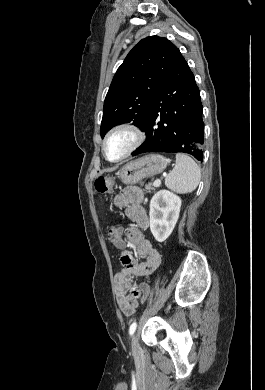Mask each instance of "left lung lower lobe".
I'll return each mask as SVG.
<instances>
[{
    "label": "left lung lower lobe",
    "instance_id": "obj_1",
    "mask_svg": "<svg viewBox=\"0 0 265 390\" xmlns=\"http://www.w3.org/2000/svg\"><path fill=\"white\" fill-rule=\"evenodd\" d=\"M146 141L132 153H187L203 161L204 123L200 91L183 56L156 93L146 125Z\"/></svg>",
    "mask_w": 265,
    "mask_h": 390
}]
</instances>
